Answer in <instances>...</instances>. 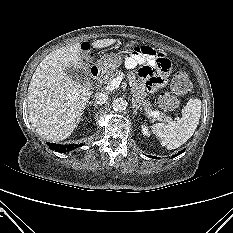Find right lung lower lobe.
<instances>
[{
	"instance_id": "1",
	"label": "right lung lower lobe",
	"mask_w": 233,
	"mask_h": 233,
	"mask_svg": "<svg viewBox=\"0 0 233 233\" xmlns=\"http://www.w3.org/2000/svg\"><path fill=\"white\" fill-rule=\"evenodd\" d=\"M47 145L49 146L51 150H54L56 152H61V153H66V152H69L71 150H74L82 146V144L61 145V144H55V143H49V142H47Z\"/></svg>"
}]
</instances>
